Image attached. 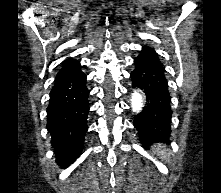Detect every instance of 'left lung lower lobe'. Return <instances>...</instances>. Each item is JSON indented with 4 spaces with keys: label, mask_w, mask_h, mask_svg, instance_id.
<instances>
[{
    "label": "left lung lower lobe",
    "mask_w": 221,
    "mask_h": 193,
    "mask_svg": "<svg viewBox=\"0 0 221 193\" xmlns=\"http://www.w3.org/2000/svg\"><path fill=\"white\" fill-rule=\"evenodd\" d=\"M134 64L130 74L133 87L142 90L146 96L145 107L134 119L140 141L144 146L169 142L172 110L165 68L157 53L146 46L134 59Z\"/></svg>",
    "instance_id": "1"
}]
</instances>
